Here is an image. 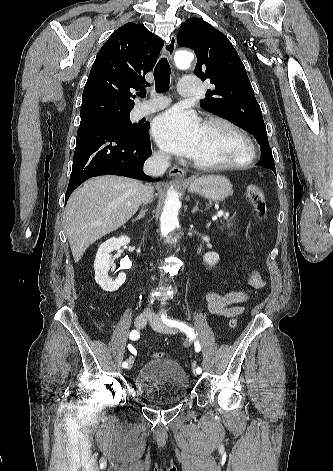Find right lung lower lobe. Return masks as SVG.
<instances>
[{
  "label": "right lung lower lobe",
  "instance_id": "obj_1",
  "mask_svg": "<svg viewBox=\"0 0 333 471\" xmlns=\"http://www.w3.org/2000/svg\"><path fill=\"white\" fill-rule=\"evenodd\" d=\"M149 126L145 123L137 130L110 125L79 128L65 202L80 184L94 176L111 174L153 181L143 172L144 162L152 154Z\"/></svg>",
  "mask_w": 333,
  "mask_h": 471
}]
</instances>
